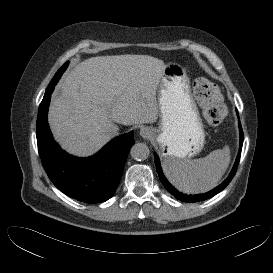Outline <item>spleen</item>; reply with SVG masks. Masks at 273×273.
Masks as SVG:
<instances>
[{
	"label": "spleen",
	"mask_w": 273,
	"mask_h": 273,
	"mask_svg": "<svg viewBox=\"0 0 273 273\" xmlns=\"http://www.w3.org/2000/svg\"><path fill=\"white\" fill-rule=\"evenodd\" d=\"M230 163V149L212 151L206 157L178 160L166 158L164 171L170 182L185 193H204L213 189L222 178Z\"/></svg>",
	"instance_id": "1"
}]
</instances>
